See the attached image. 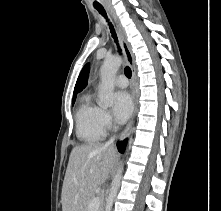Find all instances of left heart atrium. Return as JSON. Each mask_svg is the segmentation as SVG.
<instances>
[{"mask_svg": "<svg viewBox=\"0 0 221 211\" xmlns=\"http://www.w3.org/2000/svg\"><path fill=\"white\" fill-rule=\"evenodd\" d=\"M133 103L130 95L125 91H118L113 98V113L119 123L125 122L131 115Z\"/></svg>", "mask_w": 221, "mask_h": 211, "instance_id": "1", "label": "left heart atrium"}]
</instances>
